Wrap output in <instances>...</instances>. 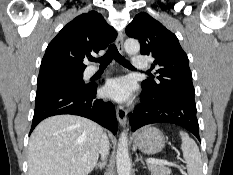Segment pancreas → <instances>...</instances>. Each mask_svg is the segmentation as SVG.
Segmentation results:
<instances>
[{
  "label": "pancreas",
  "mask_w": 233,
  "mask_h": 175,
  "mask_svg": "<svg viewBox=\"0 0 233 175\" xmlns=\"http://www.w3.org/2000/svg\"><path fill=\"white\" fill-rule=\"evenodd\" d=\"M148 169L150 170L151 175H170L171 174V169L165 166L149 164Z\"/></svg>",
  "instance_id": "pancreas-1"
}]
</instances>
